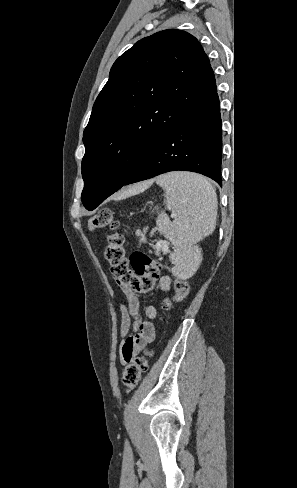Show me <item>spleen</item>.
<instances>
[{
	"label": "spleen",
	"instance_id": "spleen-1",
	"mask_svg": "<svg viewBox=\"0 0 297 488\" xmlns=\"http://www.w3.org/2000/svg\"><path fill=\"white\" fill-rule=\"evenodd\" d=\"M165 190L166 208L157 218V226L175 246L171 260L182 268L187 259L195 267L199 262L193 247L198 239L213 232L216 225L217 197L213 186L202 176L186 172H170L157 178Z\"/></svg>",
	"mask_w": 297,
	"mask_h": 488
}]
</instances>
